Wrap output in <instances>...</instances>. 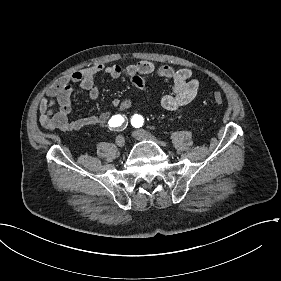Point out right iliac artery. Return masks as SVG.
I'll return each instance as SVG.
<instances>
[{"label": "right iliac artery", "instance_id": "right-iliac-artery-1", "mask_svg": "<svg viewBox=\"0 0 281 281\" xmlns=\"http://www.w3.org/2000/svg\"><path fill=\"white\" fill-rule=\"evenodd\" d=\"M128 125V119L125 115H114L110 120H109V126L116 130V131H122L124 130Z\"/></svg>", "mask_w": 281, "mask_h": 281}]
</instances>
